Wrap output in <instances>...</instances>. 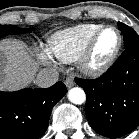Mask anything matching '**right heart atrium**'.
Segmentation results:
<instances>
[{
  "label": "right heart atrium",
  "instance_id": "1",
  "mask_svg": "<svg viewBox=\"0 0 139 139\" xmlns=\"http://www.w3.org/2000/svg\"><path fill=\"white\" fill-rule=\"evenodd\" d=\"M38 55L43 62H49L50 58L46 51L40 50Z\"/></svg>",
  "mask_w": 139,
  "mask_h": 139
}]
</instances>
